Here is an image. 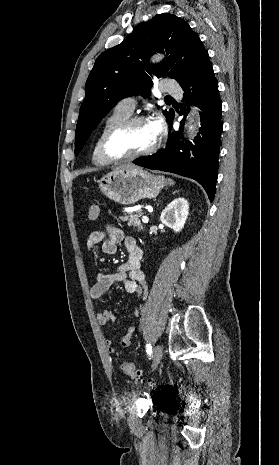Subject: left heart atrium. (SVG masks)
<instances>
[{
    "label": "left heart atrium",
    "mask_w": 279,
    "mask_h": 465,
    "mask_svg": "<svg viewBox=\"0 0 279 465\" xmlns=\"http://www.w3.org/2000/svg\"><path fill=\"white\" fill-rule=\"evenodd\" d=\"M150 124L156 135H158L163 130V121L160 118L154 120Z\"/></svg>",
    "instance_id": "1"
}]
</instances>
